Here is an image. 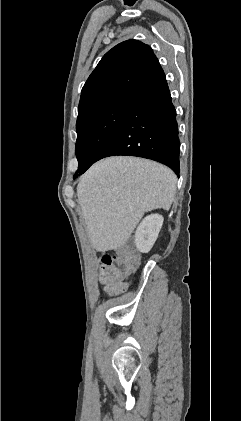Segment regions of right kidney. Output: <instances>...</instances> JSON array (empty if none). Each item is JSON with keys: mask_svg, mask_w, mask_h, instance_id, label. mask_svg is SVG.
Returning a JSON list of instances; mask_svg holds the SVG:
<instances>
[{"mask_svg": "<svg viewBox=\"0 0 241 421\" xmlns=\"http://www.w3.org/2000/svg\"><path fill=\"white\" fill-rule=\"evenodd\" d=\"M163 217L151 214L145 217L135 232V245L142 253H147L153 247L163 225Z\"/></svg>", "mask_w": 241, "mask_h": 421, "instance_id": "ca27d5eb", "label": "right kidney"}]
</instances>
